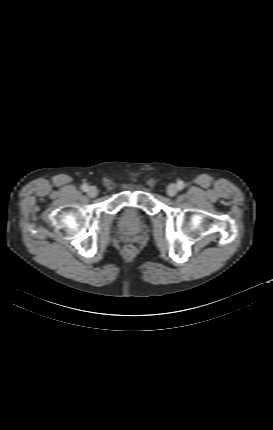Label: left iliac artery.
<instances>
[{
    "mask_svg": "<svg viewBox=\"0 0 273 430\" xmlns=\"http://www.w3.org/2000/svg\"><path fill=\"white\" fill-rule=\"evenodd\" d=\"M184 186H185L184 182L179 181V183H178V187H179V189H183V188H184Z\"/></svg>",
    "mask_w": 273,
    "mask_h": 430,
    "instance_id": "obj_1",
    "label": "left iliac artery"
}]
</instances>
